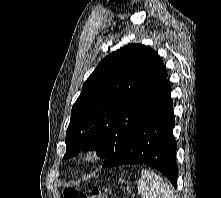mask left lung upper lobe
<instances>
[{
	"label": "left lung upper lobe",
	"mask_w": 221,
	"mask_h": 198,
	"mask_svg": "<svg viewBox=\"0 0 221 198\" xmlns=\"http://www.w3.org/2000/svg\"><path fill=\"white\" fill-rule=\"evenodd\" d=\"M168 87L165 66L151 48L130 44L105 57L72 107L64 158L96 150L109 158L156 106Z\"/></svg>",
	"instance_id": "obj_1"
}]
</instances>
